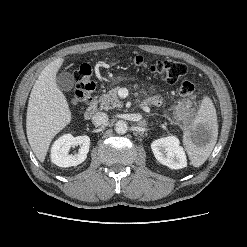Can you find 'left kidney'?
I'll return each mask as SVG.
<instances>
[{
	"instance_id": "left-kidney-1",
	"label": "left kidney",
	"mask_w": 247,
	"mask_h": 247,
	"mask_svg": "<svg viewBox=\"0 0 247 247\" xmlns=\"http://www.w3.org/2000/svg\"><path fill=\"white\" fill-rule=\"evenodd\" d=\"M155 158L171 169H181L187 166L186 155L176 136L157 139L151 144Z\"/></svg>"
}]
</instances>
